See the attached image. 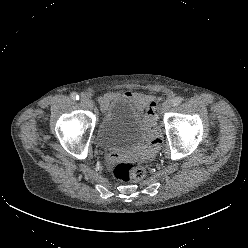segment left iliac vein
I'll return each instance as SVG.
<instances>
[{"instance_id":"4c4485c4","label":"left iliac vein","mask_w":248,"mask_h":248,"mask_svg":"<svg viewBox=\"0 0 248 248\" xmlns=\"http://www.w3.org/2000/svg\"><path fill=\"white\" fill-rule=\"evenodd\" d=\"M172 102L170 100H166L162 105V111L167 112L171 109Z\"/></svg>"}]
</instances>
